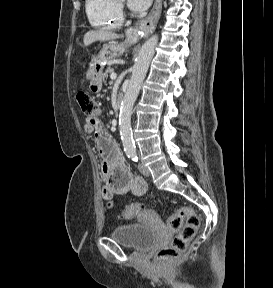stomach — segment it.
Here are the masks:
<instances>
[{
  "mask_svg": "<svg viewBox=\"0 0 273 288\" xmlns=\"http://www.w3.org/2000/svg\"><path fill=\"white\" fill-rule=\"evenodd\" d=\"M130 45L129 41L118 43L109 42L92 57L87 78L91 80L90 89L98 93L101 90L102 71L104 66L111 60L119 57Z\"/></svg>",
  "mask_w": 273,
  "mask_h": 288,
  "instance_id": "obj_1",
  "label": "stomach"
}]
</instances>
